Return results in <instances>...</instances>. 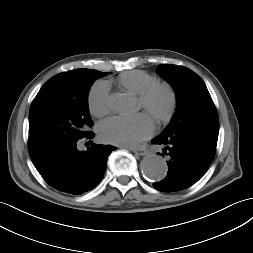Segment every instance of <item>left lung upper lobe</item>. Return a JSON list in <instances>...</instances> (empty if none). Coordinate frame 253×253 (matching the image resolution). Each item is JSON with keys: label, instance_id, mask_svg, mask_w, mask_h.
<instances>
[{"label": "left lung upper lobe", "instance_id": "left-lung-upper-lobe-1", "mask_svg": "<svg viewBox=\"0 0 253 253\" xmlns=\"http://www.w3.org/2000/svg\"><path fill=\"white\" fill-rule=\"evenodd\" d=\"M157 72L175 89L177 110L161 134L174 133L196 124L215 122L218 114L203 80L192 70L175 65H161Z\"/></svg>", "mask_w": 253, "mask_h": 253}]
</instances>
